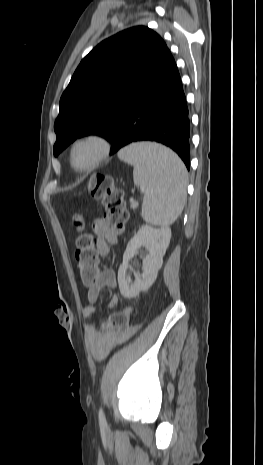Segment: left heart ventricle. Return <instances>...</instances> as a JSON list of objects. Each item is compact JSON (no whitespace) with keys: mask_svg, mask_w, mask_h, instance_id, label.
I'll list each match as a JSON object with an SVG mask.
<instances>
[{"mask_svg":"<svg viewBox=\"0 0 263 465\" xmlns=\"http://www.w3.org/2000/svg\"><path fill=\"white\" fill-rule=\"evenodd\" d=\"M99 147L94 142H84L79 144L73 153V162L76 167L89 165L97 156Z\"/></svg>","mask_w":263,"mask_h":465,"instance_id":"left-heart-ventricle-1","label":"left heart ventricle"}]
</instances>
